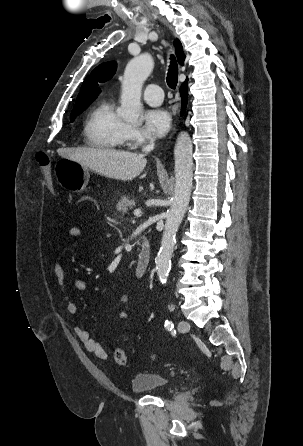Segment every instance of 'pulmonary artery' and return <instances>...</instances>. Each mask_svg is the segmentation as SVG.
Returning a JSON list of instances; mask_svg holds the SVG:
<instances>
[{"label": "pulmonary artery", "mask_w": 303, "mask_h": 446, "mask_svg": "<svg viewBox=\"0 0 303 446\" xmlns=\"http://www.w3.org/2000/svg\"><path fill=\"white\" fill-rule=\"evenodd\" d=\"M144 100L152 106H158L163 101V91L160 86L156 84H149L144 89Z\"/></svg>", "instance_id": "pulmonary-artery-1"}]
</instances>
